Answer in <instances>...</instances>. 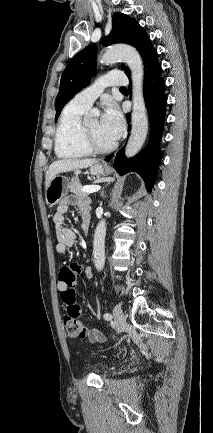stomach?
Wrapping results in <instances>:
<instances>
[{
    "label": "stomach",
    "instance_id": "obj_1",
    "mask_svg": "<svg viewBox=\"0 0 213 433\" xmlns=\"http://www.w3.org/2000/svg\"><path fill=\"white\" fill-rule=\"evenodd\" d=\"M90 173L94 176H106L110 173L107 165L95 163L90 167ZM70 188L69 179L65 176L54 177L45 190V200L50 206L58 204L65 197Z\"/></svg>",
    "mask_w": 213,
    "mask_h": 433
}]
</instances>
